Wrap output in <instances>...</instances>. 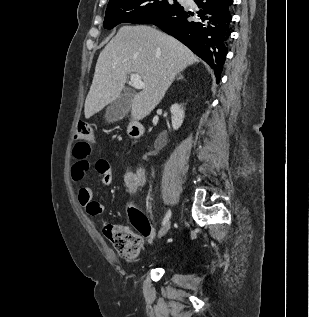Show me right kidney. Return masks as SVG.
<instances>
[{
	"mask_svg": "<svg viewBox=\"0 0 309 317\" xmlns=\"http://www.w3.org/2000/svg\"><path fill=\"white\" fill-rule=\"evenodd\" d=\"M171 112V120H172V127L174 130H178L184 120V110L183 108L178 104H173L170 108Z\"/></svg>",
	"mask_w": 309,
	"mask_h": 317,
	"instance_id": "ca27d5eb",
	"label": "right kidney"
}]
</instances>
